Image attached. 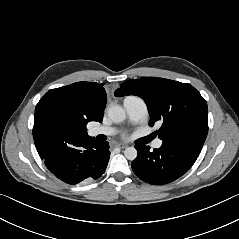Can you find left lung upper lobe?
Segmentation results:
<instances>
[{
	"label": "left lung upper lobe",
	"mask_w": 239,
	"mask_h": 239,
	"mask_svg": "<svg viewBox=\"0 0 239 239\" xmlns=\"http://www.w3.org/2000/svg\"><path fill=\"white\" fill-rule=\"evenodd\" d=\"M115 96L137 95L147 104L153 126L163 142L175 143L200 153L208 133L207 103L190 84L158 77L125 81Z\"/></svg>",
	"instance_id": "left-lung-upper-lobe-1"
}]
</instances>
